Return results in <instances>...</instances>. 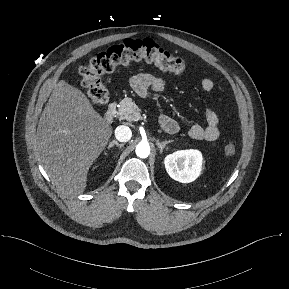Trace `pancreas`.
<instances>
[{
    "label": "pancreas",
    "mask_w": 289,
    "mask_h": 289,
    "mask_svg": "<svg viewBox=\"0 0 289 289\" xmlns=\"http://www.w3.org/2000/svg\"><path fill=\"white\" fill-rule=\"evenodd\" d=\"M116 114L122 120L136 121L140 116V109L131 98H124L120 101Z\"/></svg>",
    "instance_id": "obj_1"
}]
</instances>
